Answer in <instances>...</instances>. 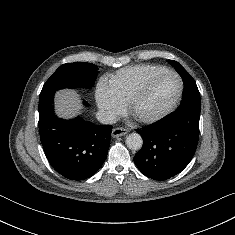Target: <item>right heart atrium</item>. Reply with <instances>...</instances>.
Here are the masks:
<instances>
[{
	"label": "right heart atrium",
	"instance_id": "d8ad5b80",
	"mask_svg": "<svg viewBox=\"0 0 235 235\" xmlns=\"http://www.w3.org/2000/svg\"><path fill=\"white\" fill-rule=\"evenodd\" d=\"M96 103L100 110L109 118H115L122 111V105L112 96L105 85L97 87L95 93Z\"/></svg>",
	"mask_w": 235,
	"mask_h": 235
}]
</instances>
